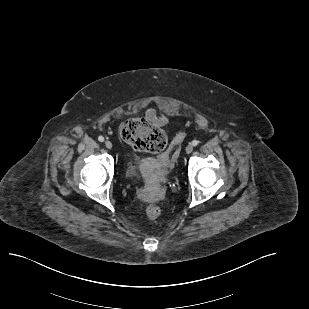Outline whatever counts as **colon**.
<instances>
[{
    "mask_svg": "<svg viewBox=\"0 0 309 309\" xmlns=\"http://www.w3.org/2000/svg\"><path fill=\"white\" fill-rule=\"evenodd\" d=\"M120 137L134 149L143 152L161 153L159 162L165 169L170 153L184 139V134H178L171 146L167 148L166 135L153 124L141 117H134L123 121L118 128ZM161 213L159 206L150 204L146 208V216L154 220Z\"/></svg>",
    "mask_w": 309,
    "mask_h": 309,
    "instance_id": "obj_1",
    "label": "colon"
}]
</instances>
